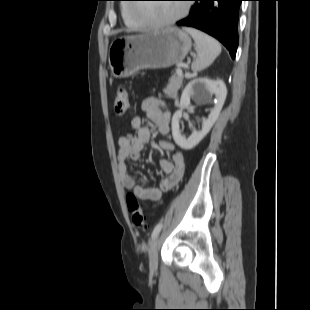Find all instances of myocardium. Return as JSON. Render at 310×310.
Listing matches in <instances>:
<instances>
[{
    "label": "myocardium",
    "instance_id": "1",
    "mask_svg": "<svg viewBox=\"0 0 310 310\" xmlns=\"http://www.w3.org/2000/svg\"><path fill=\"white\" fill-rule=\"evenodd\" d=\"M189 11H190V5L184 4L182 6L181 12L175 17L170 18L168 20H164V21H154V20H150V19L139 16L136 13V8H133V6H130L131 17L139 21L144 27L151 28V29H160V28L171 26L175 24L176 22H178L179 20L183 19L189 13Z\"/></svg>",
    "mask_w": 310,
    "mask_h": 310
}]
</instances>
